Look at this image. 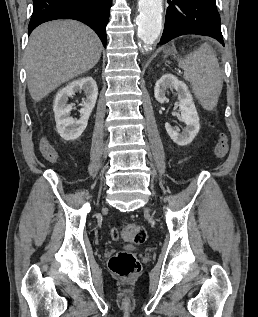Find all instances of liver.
I'll list each match as a JSON object with an SVG mask.
<instances>
[{
  "label": "liver",
  "mask_w": 258,
  "mask_h": 317,
  "mask_svg": "<svg viewBox=\"0 0 258 317\" xmlns=\"http://www.w3.org/2000/svg\"><path fill=\"white\" fill-rule=\"evenodd\" d=\"M101 46L94 30L77 20H52L37 26L25 52L31 98L39 102L62 82L90 70L100 58Z\"/></svg>",
  "instance_id": "1"
}]
</instances>
